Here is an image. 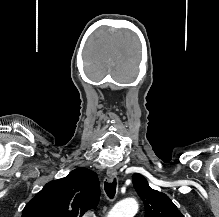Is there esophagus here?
Returning a JSON list of instances; mask_svg holds the SVG:
<instances>
[{
    "label": "esophagus",
    "instance_id": "obj_1",
    "mask_svg": "<svg viewBox=\"0 0 219 217\" xmlns=\"http://www.w3.org/2000/svg\"><path fill=\"white\" fill-rule=\"evenodd\" d=\"M107 179L112 181L117 176V171L115 169H108L107 172Z\"/></svg>",
    "mask_w": 219,
    "mask_h": 217
}]
</instances>
